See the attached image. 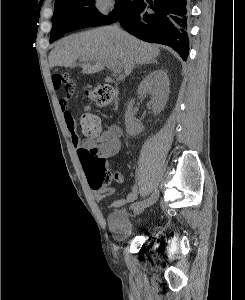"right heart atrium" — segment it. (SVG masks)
Here are the masks:
<instances>
[{"label":"right heart atrium","mask_w":245,"mask_h":300,"mask_svg":"<svg viewBox=\"0 0 245 300\" xmlns=\"http://www.w3.org/2000/svg\"><path fill=\"white\" fill-rule=\"evenodd\" d=\"M94 8L101 14H108L114 7V0H94Z\"/></svg>","instance_id":"d8ad5b80"}]
</instances>
